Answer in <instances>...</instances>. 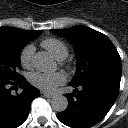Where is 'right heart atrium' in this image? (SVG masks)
<instances>
[{"mask_svg":"<svg viewBox=\"0 0 128 128\" xmlns=\"http://www.w3.org/2000/svg\"><path fill=\"white\" fill-rule=\"evenodd\" d=\"M35 47L32 44L26 45L21 53H20V64L29 69L33 66V58H34Z\"/></svg>","mask_w":128,"mask_h":128,"instance_id":"right-heart-atrium-1","label":"right heart atrium"}]
</instances>
